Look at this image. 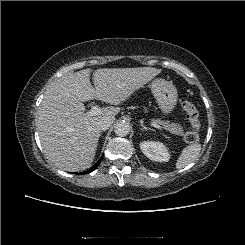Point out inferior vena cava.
<instances>
[{"instance_id": "inferior-vena-cava-1", "label": "inferior vena cava", "mask_w": 245, "mask_h": 245, "mask_svg": "<svg viewBox=\"0 0 245 245\" xmlns=\"http://www.w3.org/2000/svg\"><path fill=\"white\" fill-rule=\"evenodd\" d=\"M115 118L113 116L102 117L98 122V127L100 130H107L114 122Z\"/></svg>"}]
</instances>
